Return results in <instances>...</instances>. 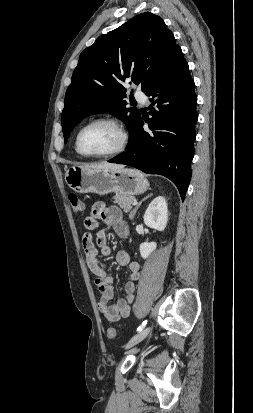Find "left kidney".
Masks as SVG:
<instances>
[{
	"mask_svg": "<svg viewBox=\"0 0 253 413\" xmlns=\"http://www.w3.org/2000/svg\"><path fill=\"white\" fill-rule=\"evenodd\" d=\"M144 223L155 230L163 231L168 221V208L166 200L163 196L154 198L149 204L144 214ZM157 244L155 242H144L140 244V255L143 259L149 257V255L156 249Z\"/></svg>",
	"mask_w": 253,
	"mask_h": 413,
	"instance_id": "1",
	"label": "left kidney"
}]
</instances>
